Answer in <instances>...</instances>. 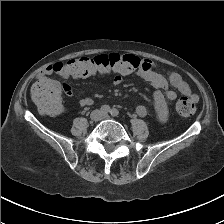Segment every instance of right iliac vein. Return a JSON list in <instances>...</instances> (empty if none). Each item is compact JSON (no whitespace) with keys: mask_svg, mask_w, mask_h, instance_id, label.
<instances>
[{"mask_svg":"<svg viewBox=\"0 0 224 224\" xmlns=\"http://www.w3.org/2000/svg\"><path fill=\"white\" fill-rule=\"evenodd\" d=\"M91 118L94 120V121H98L101 119V113L100 111H94L91 115Z\"/></svg>","mask_w":224,"mask_h":224,"instance_id":"right-iliac-vein-1","label":"right iliac vein"}]
</instances>
